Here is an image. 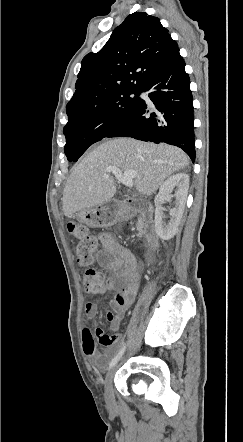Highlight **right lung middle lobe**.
I'll return each instance as SVG.
<instances>
[{
  "instance_id": "1",
  "label": "right lung middle lobe",
  "mask_w": 243,
  "mask_h": 442,
  "mask_svg": "<svg viewBox=\"0 0 243 442\" xmlns=\"http://www.w3.org/2000/svg\"><path fill=\"white\" fill-rule=\"evenodd\" d=\"M140 91L114 95L93 108L68 117L63 133L66 136L65 154L69 161H77L92 144L102 140L134 109Z\"/></svg>"
}]
</instances>
